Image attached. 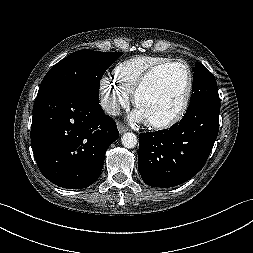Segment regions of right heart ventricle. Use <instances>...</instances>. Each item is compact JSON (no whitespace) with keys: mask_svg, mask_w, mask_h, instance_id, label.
Here are the masks:
<instances>
[{"mask_svg":"<svg viewBox=\"0 0 253 253\" xmlns=\"http://www.w3.org/2000/svg\"><path fill=\"white\" fill-rule=\"evenodd\" d=\"M170 58L156 55H139L119 63L113 71L114 80L132 94L142 76L153 66L169 61Z\"/></svg>","mask_w":253,"mask_h":253,"instance_id":"e07e8e85","label":"right heart ventricle"}]
</instances>
